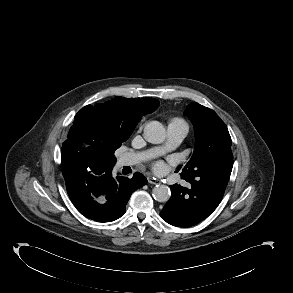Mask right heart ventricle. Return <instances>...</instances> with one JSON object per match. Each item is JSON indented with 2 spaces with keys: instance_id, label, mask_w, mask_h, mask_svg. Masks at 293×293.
Here are the masks:
<instances>
[{
  "instance_id": "obj_1",
  "label": "right heart ventricle",
  "mask_w": 293,
  "mask_h": 293,
  "mask_svg": "<svg viewBox=\"0 0 293 293\" xmlns=\"http://www.w3.org/2000/svg\"><path fill=\"white\" fill-rule=\"evenodd\" d=\"M169 124H177L187 127V123L181 118H172Z\"/></svg>"
}]
</instances>
